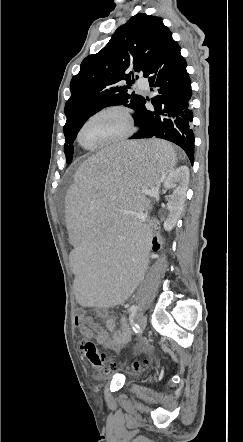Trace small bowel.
I'll use <instances>...</instances> for the list:
<instances>
[{
    "label": "small bowel",
    "instance_id": "1",
    "mask_svg": "<svg viewBox=\"0 0 243 442\" xmlns=\"http://www.w3.org/2000/svg\"><path fill=\"white\" fill-rule=\"evenodd\" d=\"M99 320L104 321V326ZM75 324L85 339L94 338L99 345L113 352L119 351L131 336L126 319L121 320V330H118L116 321L100 312L88 314L86 309H81L75 316Z\"/></svg>",
    "mask_w": 243,
    "mask_h": 442
}]
</instances>
